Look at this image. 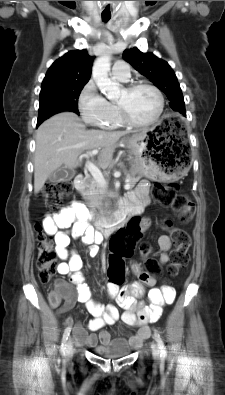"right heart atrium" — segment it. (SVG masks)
Instances as JSON below:
<instances>
[{
	"label": "right heart atrium",
	"instance_id": "right-heart-atrium-1",
	"mask_svg": "<svg viewBox=\"0 0 225 395\" xmlns=\"http://www.w3.org/2000/svg\"><path fill=\"white\" fill-rule=\"evenodd\" d=\"M78 108L83 121L93 127H104L112 116L109 102L97 91L92 80L82 89Z\"/></svg>",
	"mask_w": 225,
	"mask_h": 395
}]
</instances>
